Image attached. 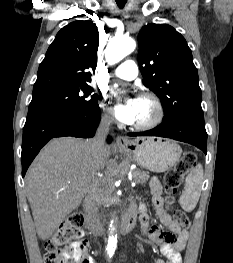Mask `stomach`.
Wrapping results in <instances>:
<instances>
[{
  "instance_id": "stomach-1",
  "label": "stomach",
  "mask_w": 233,
  "mask_h": 263,
  "mask_svg": "<svg viewBox=\"0 0 233 263\" xmlns=\"http://www.w3.org/2000/svg\"><path fill=\"white\" fill-rule=\"evenodd\" d=\"M119 151L142 168L156 173L173 167L182 153L175 142L156 137L129 140Z\"/></svg>"
}]
</instances>
